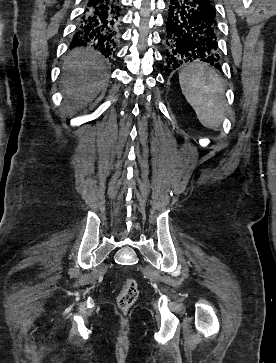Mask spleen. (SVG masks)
<instances>
[{"mask_svg":"<svg viewBox=\"0 0 276 363\" xmlns=\"http://www.w3.org/2000/svg\"><path fill=\"white\" fill-rule=\"evenodd\" d=\"M179 83L200 123L208 129L217 130L227 105L225 88L217 72L205 64L193 63L179 73Z\"/></svg>","mask_w":276,"mask_h":363,"instance_id":"spleen-1","label":"spleen"}]
</instances>
